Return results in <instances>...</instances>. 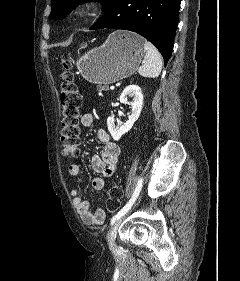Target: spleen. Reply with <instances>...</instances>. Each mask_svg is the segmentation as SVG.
Returning a JSON list of instances; mask_svg holds the SVG:
<instances>
[{
	"label": "spleen",
	"mask_w": 240,
	"mask_h": 281,
	"mask_svg": "<svg viewBox=\"0 0 240 281\" xmlns=\"http://www.w3.org/2000/svg\"><path fill=\"white\" fill-rule=\"evenodd\" d=\"M146 51L143 64L139 67L138 73L143 77L156 78L162 70V58L156 47L149 41H145Z\"/></svg>",
	"instance_id": "3e777b00"
}]
</instances>
